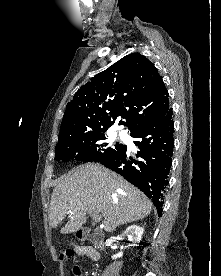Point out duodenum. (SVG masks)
Here are the masks:
<instances>
[{
	"label": "duodenum",
	"mask_w": 221,
	"mask_h": 276,
	"mask_svg": "<svg viewBox=\"0 0 221 276\" xmlns=\"http://www.w3.org/2000/svg\"><path fill=\"white\" fill-rule=\"evenodd\" d=\"M76 236L79 240L86 241L90 237V231L87 230V229H80L76 232ZM91 247L94 248V249L95 248H102L103 247V241L98 240V241L95 242L94 247L93 246H91Z\"/></svg>",
	"instance_id": "410a0bca"
}]
</instances>
